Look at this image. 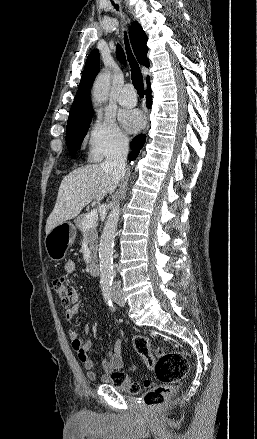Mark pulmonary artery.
Segmentation results:
<instances>
[{"mask_svg": "<svg viewBox=\"0 0 257 439\" xmlns=\"http://www.w3.org/2000/svg\"><path fill=\"white\" fill-rule=\"evenodd\" d=\"M136 102L137 97L133 86L130 84L125 85L118 96V103L124 107H133L136 105Z\"/></svg>", "mask_w": 257, "mask_h": 439, "instance_id": "e3ab8cb5", "label": "pulmonary artery"}]
</instances>
